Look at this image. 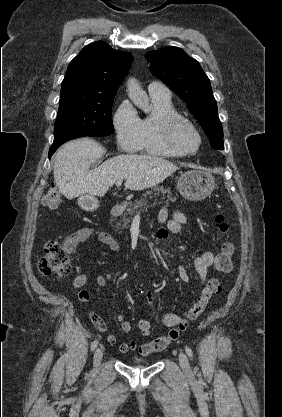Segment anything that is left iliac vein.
Listing matches in <instances>:
<instances>
[{"instance_id": "4c4485c4", "label": "left iliac vein", "mask_w": 282, "mask_h": 417, "mask_svg": "<svg viewBox=\"0 0 282 417\" xmlns=\"http://www.w3.org/2000/svg\"><path fill=\"white\" fill-rule=\"evenodd\" d=\"M179 364H180L182 370L185 372V374H187V375L191 374V367H190L188 357L183 352H181L179 354Z\"/></svg>"}]
</instances>
